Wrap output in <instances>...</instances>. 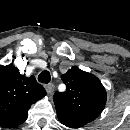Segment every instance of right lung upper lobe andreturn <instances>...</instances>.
I'll return each mask as SVG.
<instances>
[{
	"mask_svg": "<svg viewBox=\"0 0 130 130\" xmlns=\"http://www.w3.org/2000/svg\"><path fill=\"white\" fill-rule=\"evenodd\" d=\"M45 95V89L34 76H22L12 65L0 66V126L10 128L22 124L30 106Z\"/></svg>",
	"mask_w": 130,
	"mask_h": 130,
	"instance_id": "1",
	"label": "right lung upper lobe"
}]
</instances>
